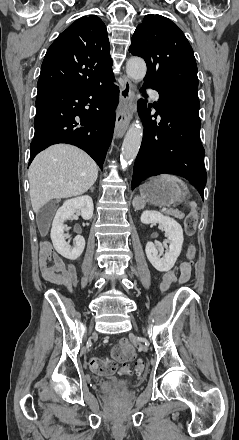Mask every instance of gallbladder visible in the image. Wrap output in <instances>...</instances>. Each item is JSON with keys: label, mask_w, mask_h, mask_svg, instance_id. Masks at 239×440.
Instances as JSON below:
<instances>
[{"label": "gallbladder", "mask_w": 239, "mask_h": 440, "mask_svg": "<svg viewBox=\"0 0 239 440\" xmlns=\"http://www.w3.org/2000/svg\"><path fill=\"white\" fill-rule=\"evenodd\" d=\"M43 214H45V208H42V210H40L39 214H37V224H38V228L39 230H41V216H43ZM47 226V224H46Z\"/></svg>", "instance_id": "obj_1"}]
</instances>
